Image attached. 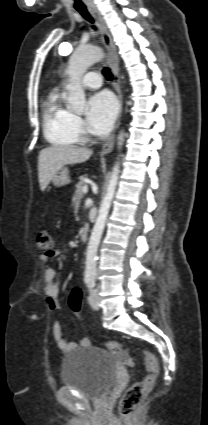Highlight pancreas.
<instances>
[{"mask_svg":"<svg viewBox=\"0 0 208 425\" xmlns=\"http://www.w3.org/2000/svg\"><path fill=\"white\" fill-rule=\"evenodd\" d=\"M85 179H86V176H81L79 178L80 181L76 185V191H75V194L72 198L75 211H77L79 204H80V201H81V199L84 195L83 187L86 186Z\"/></svg>","mask_w":208,"mask_h":425,"instance_id":"pancreas-1","label":"pancreas"}]
</instances>
